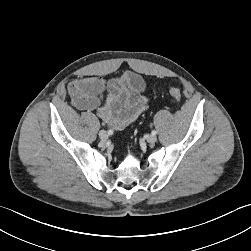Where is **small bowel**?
I'll return each mask as SVG.
<instances>
[{"label":"small bowel","instance_id":"obj_1","mask_svg":"<svg viewBox=\"0 0 251 251\" xmlns=\"http://www.w3.org/2000/svg\"><path fill=\"white\" fill-rule=\"evenodd\" d=\"M145 88L140 75L127 71L108 80L97 76L74 79L68 84V93L76 109L94 112L113 129L121 130L147 109Z\"/></svg>","mask_w":251,"mask_h":251}]
</instances>
